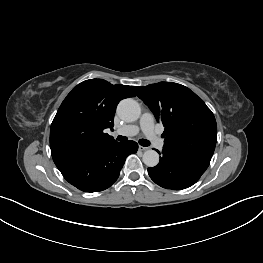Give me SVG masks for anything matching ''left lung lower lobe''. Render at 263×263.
<instances>
[{
  "label": "left lung lower lobe",
  "mask_w": 263,
  "mask_h": 263,
  "mask_svg": "<svg viewBox=\"0 0 263 263\" xmlns=\"http://www.w3.org/2000/svg\"><path fill=\"white\" fill-rule=\"evenodd\" d=\"M160 154V152L158 151ZM209 162L182 156L163 149L160 163L148 168L151 179L166 189L181 190L196 183Z\"/></svg>",
  "instance_id": "0a47b994"
}]
</instances>
